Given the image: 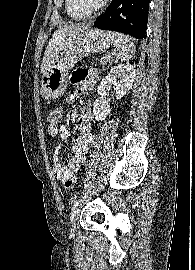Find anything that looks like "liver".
<instances>
[{
    "mask_svg": "<svg viewBox=\"0 0 195 270\" xmlns=\"http://www.w3.org/2000/svg\"><path fill=\"white\" fill-rule=\"evenodd\" d=\"M86 29L87 27L85 26L68 24V25H64L60 27L58 30H56L53 33L52 38L50 39L46 47V50L44 52V56L42 59L41 73L43 75L45 71L47 70L48 66L57 59L58 54L64 48L66 39Z\"/></svg>",
    "mask_w": 195,
    "mask_h": 270,
    "instance_id": "obj_1",
    "label": "liver"
}]
</instances>
